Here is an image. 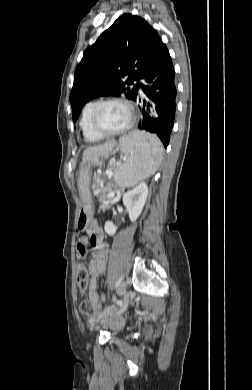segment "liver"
Here are the masks:
<instances>
[{"instance_id": "1", "label": "liver", "mask_w": 252, "mask_h": 390, "mask_svg": "<svg viewBox=\"0 0 252 390\" xmlns=\"http://www.w3.org/2000/svg\"><path fill=\"white\" fill-rule=\"evenodd\" d=\"M108 144H110V143H107V144L102 145V146L90 147V148H88L87 150H97V149L106 148V146H107Z\"/></svg>"}]
</instances>
